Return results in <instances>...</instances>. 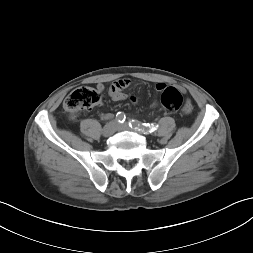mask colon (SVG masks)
I'll return each instance as SVG.
<instances>
[{
	"label": "colon",
	"instance_id": "5ec220e1",
	"mask_svg": "<svg viewBox=\"0 0 253 253\" xmlns=\"http://www.w3.org/2000/svg\"><path fill=\"white\" fill-rule=\"evenodd\" d=\"M161 94V104L165 113L177 112L183 103L180 91L174 87H165ZM101 99V94L97 89L83 86L70 93L63 104L65 112L72 118L77 119L83 110L95 106Z\"/></svg>",
	"mask_w": 253,
	"mask_h": 253
}]
</instances>
